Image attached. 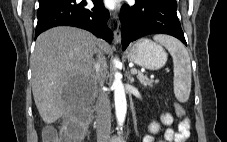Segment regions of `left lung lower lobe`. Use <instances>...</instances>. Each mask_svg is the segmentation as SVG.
<instances>
[{
	"label": "left lung lower lobe",
	"instance_id": "obj_1",
	"mask_svg": "<svg viewBox=\"0 0 227 142\" xmlns=\"http://www.w3.org/2000/svg\"><path fill=\"white\" fill-rule=\"evenodd\" d=\"M177 3L171 0H139L121 9L123 50L130 42L149 34H168L186 40L176 13Z\"/></svg>",
	"mask_w": 227,
	"mask_h": 142
}]
</instances>
